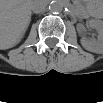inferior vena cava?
Masks as SVG:
<instances>
[{
	"instance_id": "602c4592",
	"label": "inferior vena cava",
	"mask_w": 103,
	"mask_h": 103,
	"mask_svg": "<svg viewBox=\"0 0 103 103\" xmlns=\"http://www.w3.org/2000/svg\"><path fill=\"white\" fill-rule=\"evenodd\" d=\"M46 8V3L42 0H35L32 3L31 9L34 13H42Z\"/></svg>"
}]
</instances>
